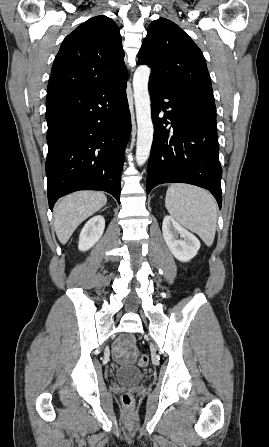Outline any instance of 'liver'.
<instances>
[{
  "label": "liver",
  "instance_id": "obj_1",
  "mask_svg": "<svg viewBox=\"0 0 269 447\" xmlns=\"http://www.w3.org/2000/svg\"><path fill=\"white\" fill-rule=\"evenodd\" d=\"M103 192H74L60 200L54 210V227L61 243H67L74 229L105 206Z\"/></svg>",
  "mask_w": 269,
  "mask_h": 447
}]
</instances>
